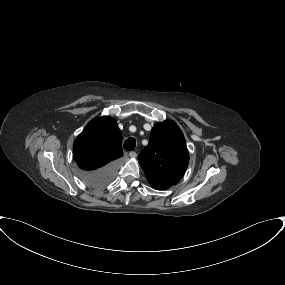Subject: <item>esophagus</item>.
Listing matches in <instances>:
<instances>
[{"label": "esophagus", "instance_id": "obj_1", "mask_svg": "<svg viewBox=\"0 0 285 285\" xmlns=\"http://www.w3.org/2000/svg\"><path fill=\"white\" fill-rule=\"evenodd\" d=\"M136 156H137V153L134 152V151H132V152L129 153V157H130V158H136Z\"/></svg>", "mask_w": 285, "mask_h": 285}]
</instances>
